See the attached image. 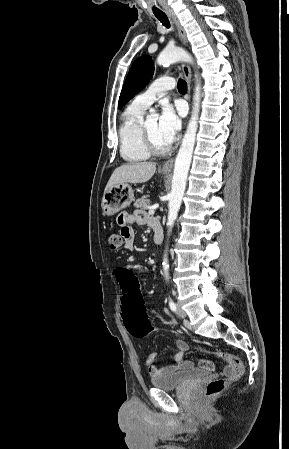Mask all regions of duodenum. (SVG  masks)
<instances>
[{
    "label": "duodenum",
    "instance_id": "duodenum-1",
    "mask_svg": "<svg viewBox=\"0 0 289 449\" xmlns=\"http://www.w3.org/2000/svg\"><path fill=\"white\" fill-rule=\"evenodd\" d=\"M153 231H154V242L156 244H161L163 242V229L160 223L154 225Z\"/></svg>",
    "mask_w": 289,
    "mask_h": 449
}]
</instances>
